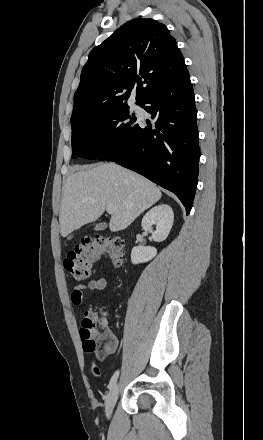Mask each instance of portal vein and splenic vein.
<instances>
[{"label": "portal vein and splenic vein", "instance_id": "obj_1", "mask_svg": "<svg viewBox=\"0 0 263 440\" xmlns=\"http://www.w3.org/2000/svg\"><path fill=\"white\" fill-rule=\"evenodd\" d=\"M114 209H115V206L112 204H109L106 206V211L110 214L114 211Z\"/></svg>", "mask_w": 263, "mask_h": 440}]
</instances>
